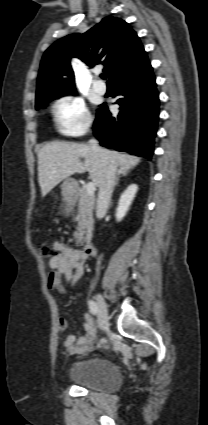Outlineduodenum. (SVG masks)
<instances>
[{
  "label": "duodenum",
  "mask_w": 208,
  "mask_h": 425,
  "mask_svg": "<svg viewBox=\"0 0 208 425\" xmlns=\"http://www.w3.org/2000/svg\"><path fill=\"white\" fill-rule=\"evenodd\" d=\"M82 251L86 256H90L95 252V247L90 241L84 242Z\"/></svg>",
  "instance_id": "410a0bca"
}]
</instances>
